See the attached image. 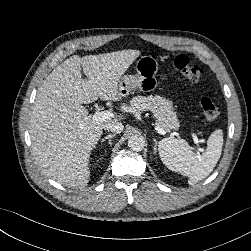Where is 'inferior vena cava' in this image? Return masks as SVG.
I'll return each instance as SVG.
<instances>
[{
  "label": "inferior vena cava",
  "mask_w": 251,
  "mask_h": 251,
  "mask_svg": "<svg viewBox=\"0 0 251 251\" xmlns=\"http://www.w3.org/2000/svg\"><path fill=\"white\" fill-rule=\"evenodd\" d=\"M105 130L115 133H121L124 126L119 122L106 123L103 127Z\"/></svg>",
  "instance_id": "inferior-vena-cava-1"
}]
</instances>
